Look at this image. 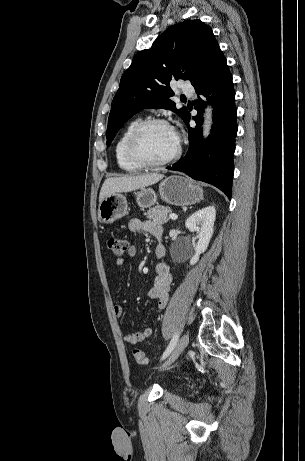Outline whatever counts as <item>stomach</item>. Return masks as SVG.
<instances>
[{"label":"stomach","instance_id":"obj_1","mask_svg":"<svg viewBox=\"0 0 305 461\" xmlns=\"http://www.w3.org/2000/svg\"><path fill=\"white\" fill-rule=\"evenodd\" d=\"M138 205L144 209L157 203L158 195L152 188H141L135 193ZM160 198L168 204L187 206L198 203L203 198V190L192 180L172 175L159 184ZM128 212L126 196L114 193L102 200L98 207V218L109 224L122 218Z\"/></svg>","mask_w":305,"mask_h":461}]
</instances>
